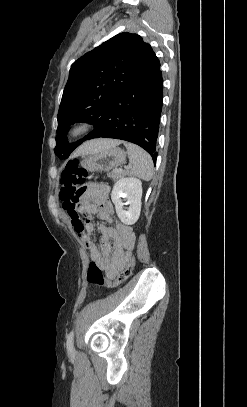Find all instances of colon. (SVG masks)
<instances>
[{"instance_id":"obj_1","label":"colon","mask_w":247,"mask_h":407,"mask_svg":"<svg viewBox=\"0 0 247 407\" xmlns=\"http://www.w3.org/2000/svg\"><path fill=\"white\" fill-rule=\"evenodd\" d=\"M86 178L87 172L80 166L79 161L76 159L70 160L61 173L60 198L63 201H70L73 204H77L83 195ZM134 263V259L131 258L128 265L118 277L114 280H110L105 277L99 265L92 261L87 268V281L93 285L115 288L131 276Z\"/></svg>"}]
</instances>
